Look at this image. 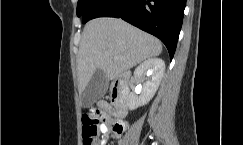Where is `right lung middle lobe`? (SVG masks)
I'll return each mask as SVG.
<instances>
[{"mask_svg": "<svg viewBox=\"0 0 243 145\" xmlns=\"http://www.w3.org/2000/svg\"><path fill=\"white\" fill-rule=\"evenodd\" d=\"M95 0H78L77 4V16L82 17L87 8L94 2Z\"/></svg>", "mask_w": 243, "mask_h": 145, "instance_id": "obj_1", "label": "right lung middle lobe"}]
</instances>
